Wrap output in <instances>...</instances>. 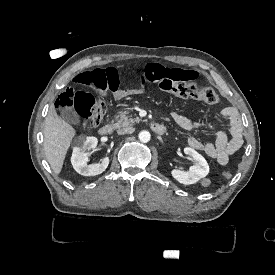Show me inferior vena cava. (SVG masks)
<instances>
[{"instance_id": "obj_1", "label": "inferior vena cava", "mask_w": 275, "mask_h": 275, "mask_svg": "<svg viewBox=\"0 0 275 275\" xmlns=\"http://www.w3.org/2000/svg\"><path fill=\"white\" fill-rule=\"evenodd\" d=\"M134 131H135V128H133V127H126V128L118 130L117 134H119V135L130 134V133H133Z\"/></svg>"}]
</instances>
